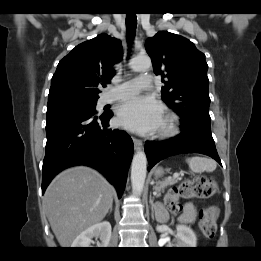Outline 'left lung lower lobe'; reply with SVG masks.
Segmentation results:
<instances>
[{
    "mask_svg": "<svg viewBox=\"0 0 261 261\" xmlns=\"http://www.w3.org/2000/svg\"><path fill=\"white\" fill-rule=\"evenodd\" d=\"M180 127L182 132L175 137L164 141H147L145 143V152L149 162L148 169H151L160 160L184 153L205 154L221 165L212 138L210 122L200 119L182 120Z\"/></svg>",
    "mask_w": 261,
    "mask_h": 261,
    "instance_id": "1",
    "label": "left lung lower lobe"
}]
</instances>
